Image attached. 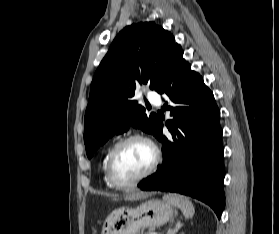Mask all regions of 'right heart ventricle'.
Listing matches in <instances>:
<instances>
[{"instance_id": "1", "label": "right heart ventricle", "mask_w": 279, "mask_h": 234, "mask_svg": "<svg viewBox=\"0 0 279 234\" xmlns=\"http://www.w3.org/2000/svg\"><path fill=\"white\" fill-rule=\"evenodd\" d=\"M111 150H112V148H109L106 151V153H105V155H104V157L102 159V162H101V169H102V173H103V180H104L106 186H108L110 188L112 187V185L109 183V181L107 179V176H106V164H107V160H108V157L110 155Z\"/></svg>"}]
</instances>
